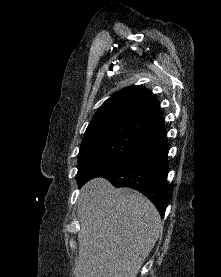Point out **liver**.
<instances>
[{"mask_svg":"<svg viewBox=\"0 0 221 277\" xmlns=\"http://www.w3.org/2000/svg\"><path fill=\"white\" fill-rule=\"evenodd\" d=\"M78 203L75 277H137L163 230L154 204L103 178L87 182Z\"/></svg>","mask_w":221,"mask_h":277,"instance_id":"liver-1","label":"liver"}]
</instances>
